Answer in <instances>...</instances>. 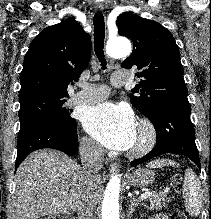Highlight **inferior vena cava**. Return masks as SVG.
<instances>
[{
    "label": "inferior vena cava",
    "mask_w": 211,
    "mask_h": 219,
    "mask_svg": "<svg viewBox=\"0 0 211 219\" xmlns=\"http://www.w3.org/2000/svg\"><path fill=\"white\" fill-rule=\"evenodd\" d=\"M79 154L83 165L85 187L77 202L78 219H93L95 201L93 190L97 187L99 171L103 166V149L90 139H83L79 145Z\"/></svg>",
    "instance_id": "obj_1"
}]
</instances>
